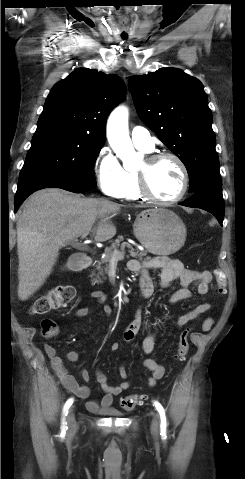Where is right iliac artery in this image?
Returning <instances> with one entry per match:
<instances>
[{
    "label": "right iliac artery",
    "instance_id": "1",
    "mask_svg": "<svg viewBox=\"0 0 245 479\" xmlns=\"http://www.w3.org/2000/svg\"><path fill=\"white\" fill-rule=\"evenodd\" d=\"M73 401H74L73 398L68 399L66 401L64 407H63V412H62L63 418H62V425H61V435H63V436L66 434V430H67V426H66V422H65V416H67L68 409L73 404Z\"/></svg>",
    "mask_w": 245,
    "mask_h": 479
}]
</instances>
